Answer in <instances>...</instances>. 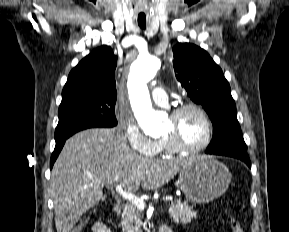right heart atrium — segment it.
Here are the masks:
<instances>
[{
	"mask_svg": "<svg viewBox=\"0 0 289 232\" xmlns=\"http://www.w3.org/2000/svg\"><path fill=\"white\" fill-rule=\"evenodd\" d=\"M121 128L132 151L147 157L157 154L159 141L145 135L133 118L123 117Z\"/></svg>",
	"mask_w": 289,
	"mask_h": 232,
	"instance_id": "right-heart-atrium-1",
	"label": "right heart atrium"
}]
</instances>
